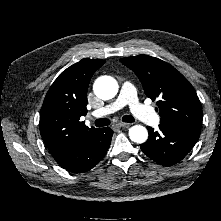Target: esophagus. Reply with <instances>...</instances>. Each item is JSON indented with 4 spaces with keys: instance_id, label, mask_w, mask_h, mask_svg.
I'll return each instance as SVG.
<instances>
[{
    "instance_id": "obj_1",
    "label": "esophagus",
    "mask_w": 221,
    "mask_h": 221,
    "mask_svg": "<svg viewBox=\"0 0 221 221\" xmlns=\"http://www.w3.org/2000/svg\"><path fill=\"white\" fill-rule=\"evenodd\" d=\"M117 126H118V127H129V126H130V123L119 122V123H117Z\"/></svg>"
}]
</instances>
